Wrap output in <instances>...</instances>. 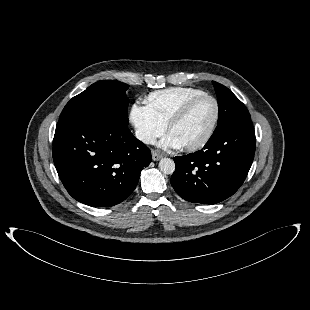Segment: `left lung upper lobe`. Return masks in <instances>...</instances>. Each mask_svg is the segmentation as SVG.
<instances>
[{"label":"left lung upper lobe","instance_id":"left-lung-upper-lobe-1","mask_svg":"<svg viewBox=\"0 0 310 310\" xmlns=\"http://www.w3.org/2000/svg\"><path fill=\"white\" fill-rule=\"evenodd\" d=\"M218 100V124L211 137H217L232 127L250 120L245 105L224 85L213 81Z\"/></svg>","mask_w":310,"mask_h":310}]
</instances>
